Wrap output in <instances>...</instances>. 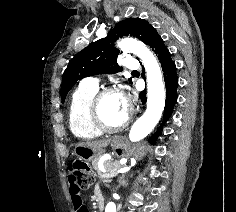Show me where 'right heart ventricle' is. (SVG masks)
<instances>
[{"label": "right heart ventricle", "instance_id": "right-heart-ventricle-1", "mask_svg": "<svg viewBox=\"0 0 236 212\" xmlns=\"http://www.w3.org/2000/svg\"><path fill=\"white\" fill-rule=\"evenodd\" d=\"M98 90V86L81 83L73 92L69 103V126L72 133L79 139H93L102 135L93 123L90 103Z\"/></svg>", "mask_w": 236, "mask_h": 212}]
</instances>
